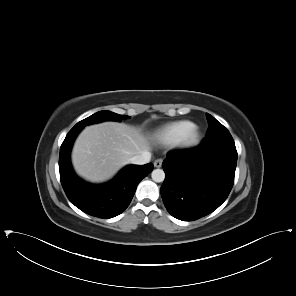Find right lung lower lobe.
Returning <instances> with one entry per match:
<instances>
[{"label":"right lung lower lobe","mask_w":296,"mask_h":296,"mask_svg":"<svg viewBox=\"0 0 296 296\" xmlns=\"http://www.w3.org/2000/svg\"><path fill=\"white\" fill-rule=\"evenodd\" d=\"M81 130L73 127L61 145V184L70 202L83 212L104 219L115 217L128 207L137 185L153 170V164L126 166L106 184L86 183L75 175L70 163L72 144Z\"/></svg>","instance_id":"right-lung-lower-lobe-1"}]
</instances>
